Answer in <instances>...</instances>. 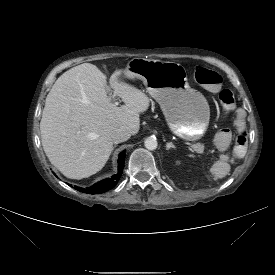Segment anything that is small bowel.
I'll return each mask as SVG.
<instances>
[{
  "label": "small bowel",
  "instance_id": "obj_1",
  "mask_svg": "<svg viewBox=\"0 0 275 275\" xmlns=\"http://www.w3.org/2000/svg\"><path fill=\"white\" fill-rule=\"evenodd\" d=\"M233 122L237 132L246 130V114L244 110L241 108L235 110ZM211 143L215 149L219 151H226L232 147L234 143V136L230 130L226 128H219L213 132L211 136ZM232 166L233 161L231 157L226 154H221L216 157L215 161L212 162L210 171L213 176L223 178L228 175Z\"/></svg>",
  "mask_w": 275,
  "mask_h": 275
}]
</instances>
